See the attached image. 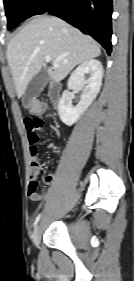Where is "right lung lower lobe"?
Returning a JSON list of instances; mask_svg holds the SVG:
<instances>
[{"label":"right lung lower lobe","instance_id":"98d812e1","mask_svg":"<svg viewBox=\"0 0 134 281\" xmlns=\"http://www.w3.org/2000/svg\"><path fill=\"white\" fill-rule=\"evenodd\" d=\"M46 12L94 37L110 55L112 0H38L30 16Z\"/></svg>","mask_w":134,"mask_h":281}]
</instances>
